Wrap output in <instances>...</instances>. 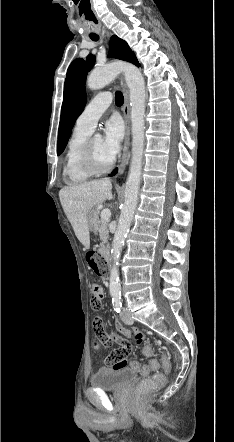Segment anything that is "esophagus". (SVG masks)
I'll return each mask as SVG.
<instances>
[{"instance_id":"obj_1","label":"esophagus","mask_w":234,"mask_h":442,"mask_svg":"<svg viewBox=\"0 0 234 442\" xmlns=\"http://www.w3.org/2000/svg\"><path fill=\"white\" fill-rule=\"evenodd\" d=\"M107 36L110 37V33L107 32ZM120 85L123 90L124 95V104L122 107L123 116L125 120V137H124V144H123V151L122 156L120 159V163L118 168L115 170L117 172V176H121L125 170V167L127 165V162L130 157L129 152V146H130V128H131V118H130V93L128 86L125 82L124 77L120 76Z\"/></svg>"}]
</instances>
